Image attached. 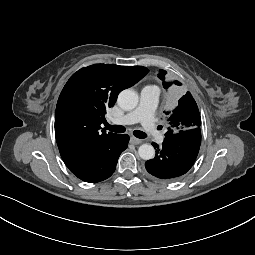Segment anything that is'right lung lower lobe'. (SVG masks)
I'll list each match as a JSON object with an SVG mask.
<instances>
[{
    "instance_id": "98d812e1",
    "label": "right lung lower lobe",
    "mask_w": 255,
    "mask_h": 255,
    "mask_svg": "<svg viewBox=\"0 0 255 255\" xmlns=\"http://www.w3.org/2000/svg\"><path fill=\"white\" fill-rule=\"evenodd\" d=\"M129 136L120 135L118 141L108 147L97 148L77 163L67 166L79 179L85 182H100L115 171L120 154L127 148Z\"/></svg>"
}]
</instances>
